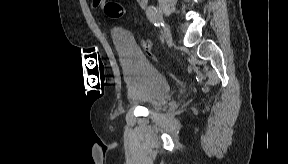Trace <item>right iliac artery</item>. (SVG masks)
<instances>
[{
    "instance_id": "obj_1",
    "label": "right iliac artery",
    "mask_w": 288,
    "mask_h": 164,
    "mask_svg": "<svg viewBox=\"0 0 288 164\" xmlns=\"http://www.w3.org/2000/svg\"><path fill=\"white\" fill-rule=\"evenodd\" d=\"M147 17L149 19V21L156 27H159L160 26V23H159V16L157 14V12L155 11V9H152V8H149L147 10Z\"/></svg>"
}]
</instances>
